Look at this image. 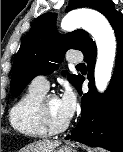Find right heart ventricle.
Returning a JSON list of instances; mask_svg holds the SVG:
<instances>
[{
    "label": "right heart ventricle",
    "instance_id": "right-heart-ventricle-1",
    "mask_svg": "<svg viewBox=\"0 0 123 152\" xmlns=\"http://www.w3.org/2000/svg\"><path fill=\"white\" fill-rule=\"evenodd\" d=\"M46 91L30 86L15 102L9 113L12 128L30 138H44L48 135L40 123L38 105Z\"/></svg>",
    "mask_w": 123,
    "mask_h": 152
}]
</instances>
